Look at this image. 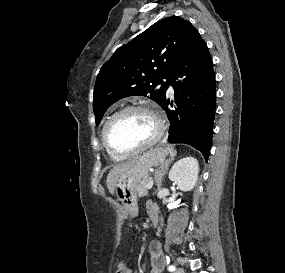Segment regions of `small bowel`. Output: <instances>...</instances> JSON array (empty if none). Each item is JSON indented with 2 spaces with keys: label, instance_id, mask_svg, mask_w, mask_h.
<instances>
[{
  "label": "small bowel",
  "instance_id": "c3829d8e",
  "mask_svg": "<svg viewBox=\"0 0 285 273\" xmlns=\"http://www.w3.org/2000/svg\"><path fill=\"white\" fill-rule=\"evenodd\" d=\"M146 209L148 214L150 210L156 209L155 205L152 202L146 204ZM150 254V273H162V268L164 265V258L161 250V246L158 242H152L149 246ZM127 273H132V270L128 267Z\"/></svg>",
  "mask_w": 285,
  "mask_h": 273
}]
</instances>
